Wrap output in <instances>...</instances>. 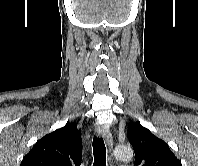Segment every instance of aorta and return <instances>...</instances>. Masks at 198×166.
Wrapping results in <instances>:
<instances>
[{
  "instance_id": "aorta-1",
  "label": "aorta",
  "mask_w": 198,
  "mask_h": 166,
  "mask_svg": "<svg viewBox=\"0 0 198 166\" xmlns=\"http://www.w3.org/2000/svg\"><path fill=\"white\" fill-rule=\"evenodd\" d=\"M114 156L118 160L128 161L133 157V150L130 146L127 145H119L114 150Z\"/></svg>"
}]
</instances>
